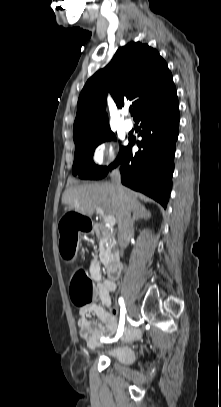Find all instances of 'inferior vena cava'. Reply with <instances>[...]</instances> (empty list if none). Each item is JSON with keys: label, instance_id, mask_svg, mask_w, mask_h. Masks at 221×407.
Here are the masks:
<instances>
[{"label": "inferior vena cava", "instance_id": "obj_1", "mask_svg": "<svg viewBox=\"0 0 221 407\" xmlns=\"http://www.w3.org/2000/svg\"><path fill=\"white\" fill-rule=\"evenodd\" d=\"M112 183L117 188L118 198L122 205L121 216L118 222V243L121 248H125L134 233L133 218L131 217V209L127 204L125 192L120 181L119 169H115L111 174Z\"/></svg>", "mask_w": 221, "mask_h": 407}]
</instances>
